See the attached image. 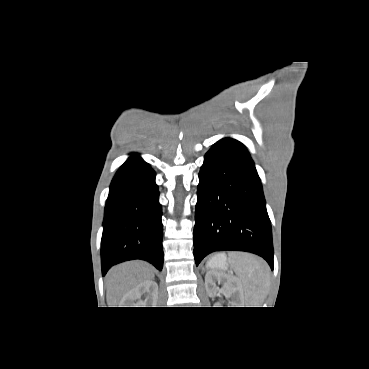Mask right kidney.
<instances>
[{
	"instance_id": "obj_1",
	"label": "right kidney",
	"mask_w": 369,
	"mask_h": 369,
	"mask_svg": "<svg viewBox=\"0 0 369 369\" xmlns=\"http://www.w3.org/2000/svg\"><path fill=\"white\" fill-rule=\"evenodd\" d=\"M145 299L142 300L141 297ZM158 300V284L145 281L128 291L120 302V307H155Z\"/></svg>"
}]
</instances>
